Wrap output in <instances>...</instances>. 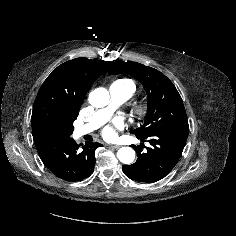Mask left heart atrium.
<instances>
[{
    "instance_id": "1",
    "label": "left heart atrium",
    "mask_w": 236,
    "mask_h": 236,
    "mask_svg": "<svg viewBox=\"0 0 236 236\" xmlns=\"http://www.w3.org/2000/svg\"><path fill=\"white\" fill-rule=\"evenodd\" d=\"M114 127L116 128L122 127V122L120 119L114 120L112 125H108L103 129L102 135L105 139L112 140L115 138L116 133H115Z\"/></svg>"
}]
</instances>
